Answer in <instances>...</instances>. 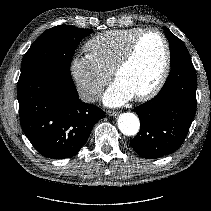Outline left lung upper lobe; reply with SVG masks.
Wrapping results in <instances>:
<instances>
[{"label":"left lung upper lobe","instance_id":"5c2ea615","mask_svg":"<svg viewBox=\"0 0 211 211\" xmlns=\"http://www.w3.org/2000/svg\"><path fill=\"white\" fill-rule=\"evenodd\" d=\"M163 29L170 44V65H174L181 59L190 58L185 44L172 34L168 28L163 27Z\"/></svg>","mask_w":211,"mask_h":211}]
</instances>
